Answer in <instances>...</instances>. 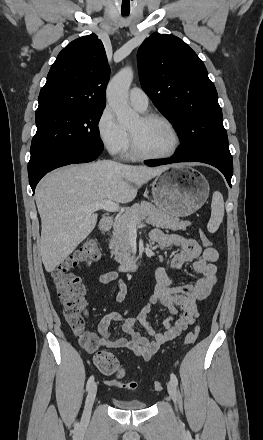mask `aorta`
I'll use <instances>...</instances> for the list:
<instances>
[{
	"instance_id": "1",
	"label": "aorta",
	"mask_w": 263,
	"mask_h": 440,
	"mask_svg": "<svg viewBox=\"0 0 263 440\" xmlns=\"http://www.w3.org/2000/svg\"><path fill=\"white\" fill-rule=\"evenodd\" d=\"M133 80L131 67L121 69L107 87V101L122 125L133 123L139 115L128 105V90Z\"/></svg>"
}]
</instances>
